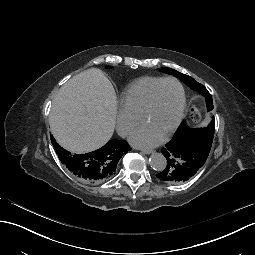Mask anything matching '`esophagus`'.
<instances>
[{
  "label": "esophagus",
  "mask_w": 255,
  "mask_h": 255,
  "mask_svg": "<svg viewBox=\"0 0 255 255\" xmlns=\"http://www.w3.org/2000/svg\"><path fill=\"white\" fill-rule=\"evenodd\" d=\"M141 150L143 151V153H145L147 155L153 153V150H151V149H141Z\"/></svg>",
  "instance_id": "esophagus-1"
}]
</instances>
